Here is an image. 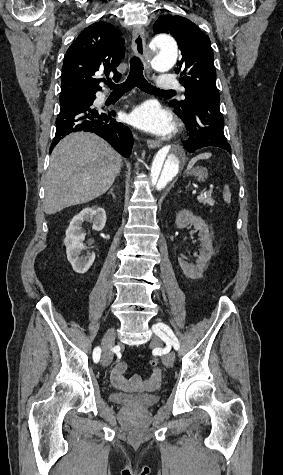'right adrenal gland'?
Here are the masks:
<instances>
[{
    "instance_id": "right-adrenal-gland-1",
    "label": "right adrenal gland",
    "mask_w": 283,
    "mask_h": 475,
    "mask_svg": "<svg viewBox=\"0 0 283 475\" xmlns=\"http://www.w3.org/2000/svg\"><path fill=\"white\" fill-rule=\"evenodd\" d=\"M114 188H116V186H113V188H111V190H110V192H108V194H111L112 198H114V200H115Z\"/></svg>"
}]
</instances>
